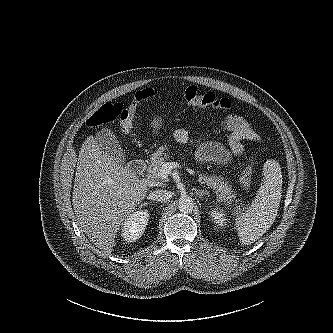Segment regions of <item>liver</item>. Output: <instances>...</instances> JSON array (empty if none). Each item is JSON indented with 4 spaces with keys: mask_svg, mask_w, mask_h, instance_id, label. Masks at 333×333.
Listing matches in <instances>:
<instances>
[{
    "mask_svg": "<svg viewBox=\"0 0 333 333\" xmlns=\"http://www.w3.org/2000/svg\"><path fill=\"white\" fill-rule=\"evenodd\" d=\"M148 183L105 153L88 137L79 151L72 195L82 231L104 255H110L124 220L146 197Z\"/></svg>",
    "mask_w": 333,
    "mask_h": 333,
    "instance_id": "obj_1",
    "label": "liver"
}]
</instances>
